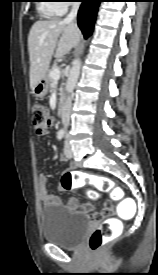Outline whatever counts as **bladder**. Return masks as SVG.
Returning <instances> with one entry per match:
<instances>
[{
  "mask_svg": "<svg viewBox=\"0 0 158 275\" xmlns=\"http://www.w3.org/2000/svg\"><path fill=\"white\" fill-rule=\"evenodd\" d=\"M41 221L44 240L64 249H75L90 226L86 215L57 205L44 207Z\"/></svg>",
  "mask_w": 158,
  "mask_h": 275,
  "instance_id": "31cf9c89",
  "label": "bladder"
}]
</instances>
